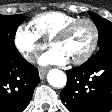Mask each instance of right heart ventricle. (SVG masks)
Returning a JSON list of instances; mask_svg holds the SVG:
<instances>
[{
  "label": "right heart ventricle",
  "mask_w": 112,
  "mask_h": 112,
  "mask_svg": "<svg viewBox=\"0 0 112 112\" xmlns=\"http://www.w3.org/2000/svg\"><path fill=\"white\" fill-rule=\"evenodd\" d=\"M76 19L64 12L49 11L36 15L30 25L42 39L50 41L63 27Z\"/></svg>",
  "instance_id": "e07e8e85"
}]
</instances>
